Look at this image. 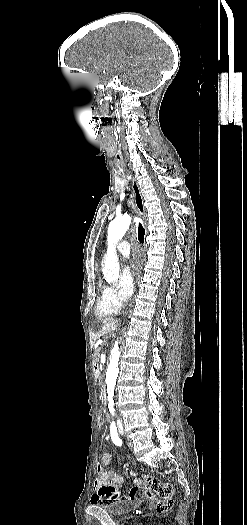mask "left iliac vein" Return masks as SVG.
<instances>
[{
    "mask_svg": "<svg viewBox=\"0 0 247 525\" xmlns=\"http://www.w3.org/2000/svg\"><path fill=\"white\" fill-rule=\"evenodd\" d=\"M119 431H120L121 434H123V429H122V427H120Z\"/></svg>",
    "mask_w": 247,
    "mask_h": 525,
    "instance_id": "left-iliac-vein-1",
    "label": "left iliac vein"
}]
</instances>
